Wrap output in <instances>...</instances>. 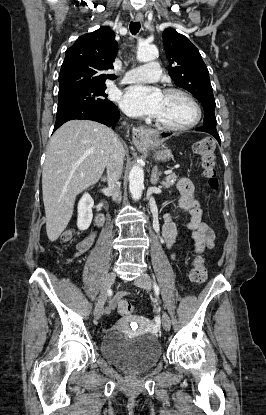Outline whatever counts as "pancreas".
<instances>
[{
	"label": "pancreas",
	"mask_w": 266,
	"mask_h": 415,
	"mask_svg": "<svg viewBox=\"0 0 266 415\" xmlns=\"http://www.w3.org/2000/svg\"><path fill=\"white\" fill-rule=\"evenodd\" d=\"M176 179H177V176L175 174H170L167 177H165L164 181L162 182V185L165 188H169L174 185Z\"/></svg>",
	"instance_id": "1"
}]
</instances>
